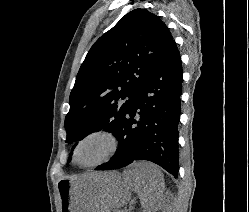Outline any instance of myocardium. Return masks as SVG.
I'll return each instance as SVG.
<instances>
[{
    "label": "myocardium",
    "instance_id": "1",
    "mask_svg": "<svg viewBox=\"0 0 249 212\" xmlns=\"http://www.w3.org/2000/svg\"><path fill=\"white\" fill-rule=\"evenodd\" d=\"M95 136L107 137L111 142L110 151L108 152V154L104 158H102L98 162H95L92 164H80L77 160L79 148L86 140H88L89 138L95 137ZM121 146H122V140H121L120 136L114 130L107 128V127L95 128V129H92V130L88 131L87 133L83 134L76 141V143L73 147V151H72V159H73V162L80 168H83V169L97 168V167L107 163L108 161H110L114 157H116L121 150Z\"/></svg>",
    "mask_w": 249,
    "mask_h": 212
}]
</instances>
